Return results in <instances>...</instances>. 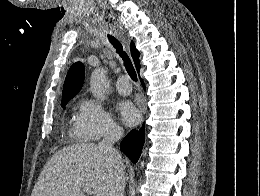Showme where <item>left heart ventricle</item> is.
<instances>
[{"label":"left heart ventricle","mask_w":260,"mask_h":196,"mask_svg":"<svg viewBox=\"0 0 260 196\" xmlns=\"http://www.w3.org/2000/svg\"><path fill=\"white\" fill-rule=\"evenodd\" d=\"M56 192H64L65 190H55Z\"/></svg>","instance_id":"obj_1"}]
</instances>
